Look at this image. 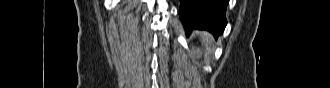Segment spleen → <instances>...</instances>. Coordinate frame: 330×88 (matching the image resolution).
Listing matches in <instances>:
<instances>
[{"mask_svg": "<svg viewBox=\"0 0 330 88\" xmlns=\"http://www.w3.org/2000/svg\"><path fill=\"white\" fill-rule=\"evenodd\" d=\"M204 37H205L206 41H210V39H211L210 35H208L207 33L204 34Z\"/></svg>", "mask_w": 330, "mask_h": 88, "instance_id": "obj_1", "label": "spleen"}]
</instances>
